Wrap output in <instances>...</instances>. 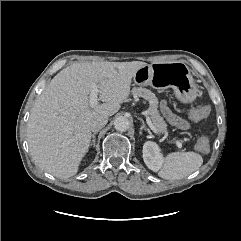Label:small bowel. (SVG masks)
Returning <instances> with one entry per match:
<instances>
[{
	"instance_id": "1",
	"label": "small bowel",
	"mask_w": 241,
	"mask_h": 241,
	"mask_svg": "<svg viewBox=\"0 0 241 241\" xmlns=\"http://www.w3.org/2000/svg\"><path fill=\"white\" fill-rule=\"evenodd\" d=\"M161 110L165 118L168 120V122L180 129H188L189 128V123L180 118L179 116L175 115L167 106L165 102L162 103L161 105Z\"/></svg>"
}]
</instances>
